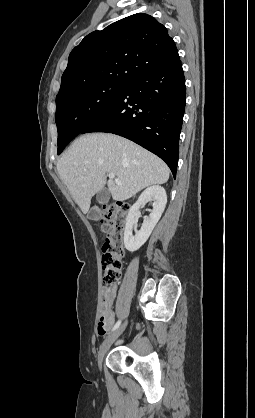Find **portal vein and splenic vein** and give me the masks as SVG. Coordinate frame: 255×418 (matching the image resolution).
Instances as JSON below:
<instances>
[{
    "label": "portal vein and splenic vein",
    "instance_id": "18ae733b",
    "mask_svg": "<svg viewBox=\"0 0 255 418\" xmlns=\"http://www.w3.org/2000/svg\"><path fill=\"white\" fill-rule=\"evenodd\" d=\"M108 176H109V178L110 179H115V182L117 183V184H119V185H121L122 183L117 179V178H115V174H113V173H109L108 174Z\"/></svg>",
    "mask_w": 255,
    "mask_h": 418
}]
</instances>
